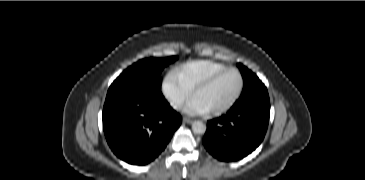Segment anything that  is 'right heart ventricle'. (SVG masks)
<instances>
[{
	"label": "right heart ventricle",
	"instance_id": "e07e8e85",
	"mask_svg": "<svg viewBox=\"0 0 365 180\" xmlns=\"http://www.w3.org/2000/svg\"><path fill=\"white\" fill-rule=\"evenodd\" d=\"M228 66L221 62L202 60L188 63L178 70L180 82L191 93L197 86Z\"/></svg>",
	"mask_w": 365,
	"mask_h": 180
}]
</instances>
